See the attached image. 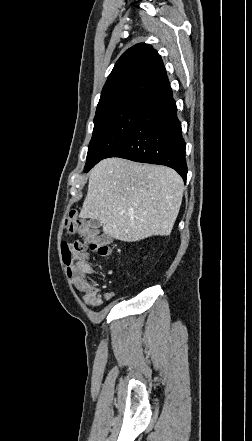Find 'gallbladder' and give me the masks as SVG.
I'll list each match as a JSON object with an SVG mask.
<instances>
[{"mask_svg": "<svg viewBox=\"0 0 252 441\" xmlns=\"http://www.w3.org/2000/svg\"><path fill=\"white\" fill-rule=\"evenodd\" d=\"M88 226L97 229L101 227V222L98 219H91L88 221Z\"/></svg>", "mask_w": 252, "mask_h": 441, "instance_id": "bac80fb5", "label": "gallbladder"}]
</instances>
